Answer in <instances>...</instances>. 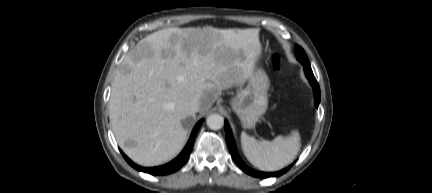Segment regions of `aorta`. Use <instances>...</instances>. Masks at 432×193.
Returning a JSON list of instances; mask_svg holds the SVG:
<instances>
[{
  "instance_id": "obj_1",
  "label": "aorta",
  "mask_w": 432,
  "mask_h": 193,
  "mask_svg": "<svg viewBox=\"0 0 432 193\" xmlns=\"http://www.w3.org/2000/svg\"><path fill=\"white\" fill-rule=\"evenodd\" d=\"M207 126L212 130H219L224 125V118L220 114H210L206 119Z\"/></svg>"
}]
</instances>
